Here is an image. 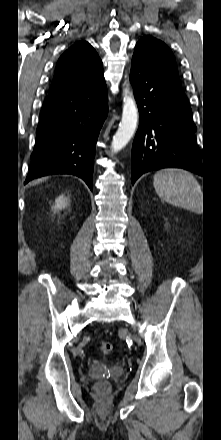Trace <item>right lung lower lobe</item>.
<instances>
[{
	"label": "right lung lower lobe",
	"instance_id": "98d812e1",
	"mask_svg": "<svg viewBox=\"0 0 221 440\" xmlns=\"http://www.w3.org/2000/svg\"><path fill=\"white\" fill-rule=\"evenodd\" d=\"M107 113L105 81L93 88L50 93L40 112L25 183L46 175L72 174L92 190L96 142Z\"/></svg>",
	"mask_w": 221,
	"mask_h": 440
}]
</instances>
